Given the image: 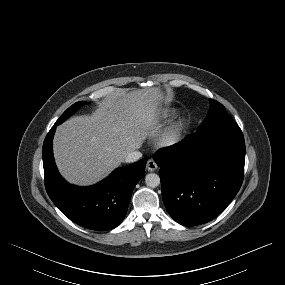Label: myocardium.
Wrapping results in <instances>:
<instances>
[{
	"instance_id": "1",
	"label": "myocardium",
	"mask_w": 285,
	"mask_h": 285,
	"mask_svg": "<svg viewBox=\"0 0 285 285\" xmlns=\"http://www.w3.org/2000/svg\"><path fill=\"white\" fill-rule=\"evenodd\" d=\"M182 135V124L175 123L160 138L159 144L164 148L175 147Z\"/></svg>"
}]
</instances>
